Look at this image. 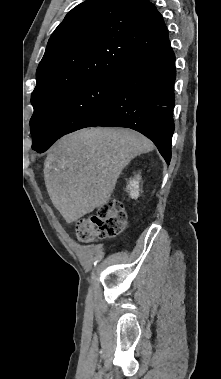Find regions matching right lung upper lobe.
Masks as SVG:
<instances>
[{
  "instance_id": "obj_1",
  "label": "right lung upper lobe",
  "mask_w": 221,
  "mask_h": 379,
  "mask_svg": "<svg viewBox=\"0 0 221 379\" xmlns=\"http://www.w3.org/2000/svg\"><path fill=\"white\" fill-rule=\"evenodd\" d=\"M169 46L163 17L149 0H87L51 35L31 100L98 74L121 73Z\"/></svg>"
}]
</instances>
